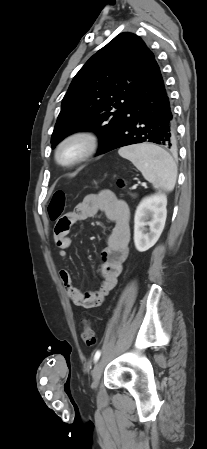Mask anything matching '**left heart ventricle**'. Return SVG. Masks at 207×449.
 Masks as SVG:
<instances>
[{"mask_svg": "<svg viewBox=\"0 0 207 449\" xmlns=\"http://www.w3.org/2000/svg\"><path fill=\"white\" fill-rule=\"evenodd\" d=\"M81 151V145L80 144H71L63 149L61 152V159L63 161H68L76 157Z\"/></svg>", "mask_w": 207, "mask_h": 449, "instance_id": "obj_1", "label": "left heart ventricle"}]
</instances>
